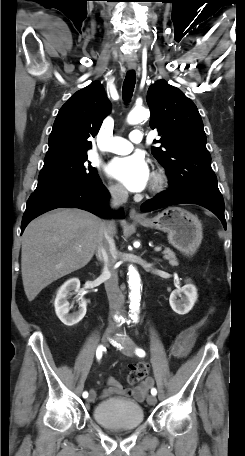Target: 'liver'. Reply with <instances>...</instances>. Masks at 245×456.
<instances>
[{"instance_id":"liver-1","label":"liver","mask_w":245,"mask_h":456,"mask_svg":"<svg viewBox=\"0 0 245 456\" xmlns=\"http://www.w3.org/2000/svg\"><path fill=\"white\" fill-rule=\"evenodd\" d=\"M102 220L80 209H57L33 220L22 237L21 272L29 301L57 279L86 266ZM112 235L116 226L112 222Z\"/></svg>"}]
</instances>
